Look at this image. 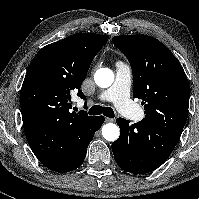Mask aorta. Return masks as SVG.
<instances>
[{"label": "aorta", "mask_w": 199, "mask_h": 199, "mask_svg": "<svg viewBox=\"0 0 199 199\" xmlns=\"http://www.w3.org/2000/svg\"><path fill=\"white\" fill-rule=\"evenodd\" d=\"M94 80L99 87L107 88L114 81V74L108 68H100L96 71ZM120 134L119 127L116 124L108 123L102 127V135L107 141H115Z\"/></svg>", "instance_id": "aorta-1"}]
</instances>
